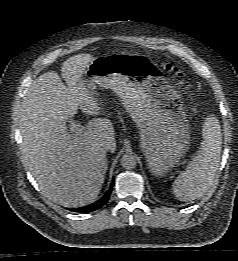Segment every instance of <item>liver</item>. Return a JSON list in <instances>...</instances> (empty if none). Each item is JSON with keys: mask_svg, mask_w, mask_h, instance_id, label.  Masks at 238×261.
<instances>
[{"mask_svg": "<svg viewBox=\"0 0 238 261\" xmlns=\"http://www.w3.org/2000/svg\"><path fill=\"white\" fill-rule=\"evenodd\" d=\"M90 54H78L63 62L64 85L55 71L40 75L29 87L20 109L22 153L26 168L43 195L64 207L94 202L104 183L108 167L106 152H115L112 122L93 118L82 132H68L66 120L78 108L88 115L101 109L82 77L93 61Z\"/></svg>", "mask_w": 238, "mask_h": 261, "instance_id": "liver-1", "label": "liver"}]
</instances>
